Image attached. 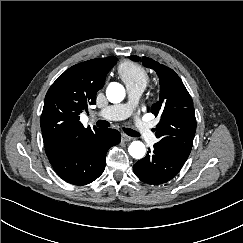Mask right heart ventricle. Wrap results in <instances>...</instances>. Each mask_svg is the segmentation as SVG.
<instances>
[{
    "mask_svg": "<svg viewBox=\"0 0 243 243\" xmlns=\"http://www.w3.org/2000/svg\"><path fill=\"white\" fill-rule=\"evenodd\" d=\"M118 72L126 86H141L145 88L149 81L148 72L135 62L125 61L121 63Z\"/></svg>",
    "mask_w": 243,
    "mask_h": 243,
    "instance_id": "1",
    "label": "right heart ventricle"
}]
</instances>
